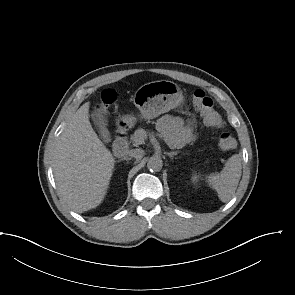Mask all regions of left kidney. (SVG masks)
<instances>
[{
	"label": "left kidney",
	"mask_w": 295,
	"mask_h": 295,
	"mask_svg": "<svg viewBox=\"0 0 295 295\" xmlns=\"http://www.w3.org/2000/svg\"><path fill=\"white\" fill-rule=\"evenodd\" d=\"M197 180H198V175H197V174H193V176H192V181H193L194 183H196Z\"/></svg>",
	"instance_id": "5707ae66"
}]
</instances>
